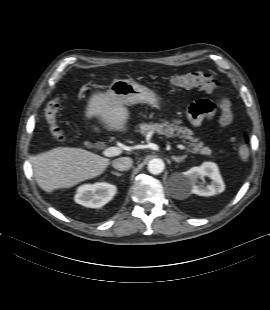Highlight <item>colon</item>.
Instances as JSON below:
<instances>
[{
  "mask_svg": "<svg viewBox=\"0 0 270 310\" xmlns=\"http://www.w3.org/2000/svg\"><path fill=\"white\" fill-rule=\"evenodd\" d=\"M169 83L176 88H201L208 93H213L219 88V82L210 74L203 72H189L186 74L173 75L169 78ZM195 108L201 114L208 115L214 110V105L209 100H198L194 103ZM61 104L58 99L50 101L45 109V120L48 123L49 131L55 140H64L61 127L57 122V115ZM238 156L242 161H247L250 157L249 136L241 133L235 138Z\"/></svg>",
  "mask_w": 270,
  "mask_h": 310,
  "instance_id": "1",
  "label": "colon"
}]
</instances>
